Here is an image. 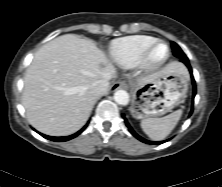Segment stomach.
Instances as JSON below:
<instances>
[{
    "label": "stomach",
    "mask_w": 222,
    "mask_h": 187,
    "mask_svg": "<svg viewBox=\"0 0 222 187\" xmlns=\"http://www.w3.org/2000/svg\"><path fill=\"white\" fill-rule=\"evenodd\" d=\"M186 71L161 70L155 78L133 87L131 115L136 119L162 116L179 104L188 90Z\"/></svg>",
    "instance_id": "0dacf381"
}]
</instances>
